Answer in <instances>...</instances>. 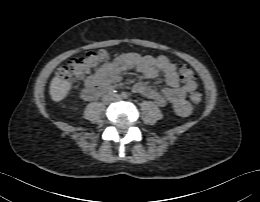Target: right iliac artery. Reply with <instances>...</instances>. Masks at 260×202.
Returning a JSON list of instances; mask_svg holds the SVG:
<instances>
[{"mask_svg": "<svg viewBox=\"0 0 260 202\" xmlns=\"http://www.w3.org/2000/svg\"><path fill=\"white\" fill-rule=\"evenodd\" d=\"M116 94H117V91H115V90L110 91V95L115 96Z\"/></svg>", "mask_w": 260, "mask_h": 202, "instance_id": "1", "label": "right iliac artery"}]
</instances>
